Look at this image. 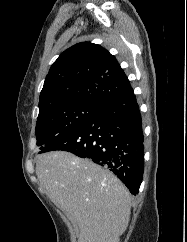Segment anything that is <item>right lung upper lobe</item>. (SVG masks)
Masks as SVG:
<instances>
[{"label":"right lung upper lobe","instance_id":"obj_1","mask_svg":"<svg viewBox=\"0 0 187 242\" xmlns=\"http://www.w3.org/2000/svg\"><path fill=\"white\" fill-rule=\"evenodd\" d=\"M131 92L130 82L113 55L99 45L78 43L51 66L40 93L39 114L75 102L103 107Z\"/></svg>","mask_w":187,"mask_h":242}]
</instances>
